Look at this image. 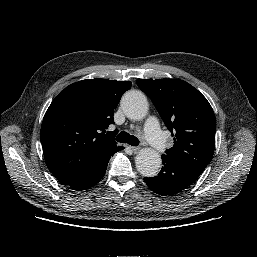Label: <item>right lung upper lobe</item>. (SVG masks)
<instances>
[{
    "label": "right lung upper lobe",
    "mask_w": 257,
    "mask_h": 257,
    "mask_svg": "<svg viewBox=\"0 0 257 257\" xmlns=\"http://www.w3.org/2000/svg\"><path fill=\"white\" fill-rule=\"evenodd\" d=\"M129 81L86 79L67 86L52 101L41 126L46 164L69 185L122 149L105 134Z\"/></svg>",
    "instance_id": "right-lung-upper-lobe-1"
}]
</instances>
